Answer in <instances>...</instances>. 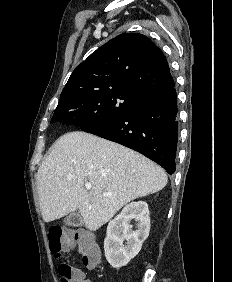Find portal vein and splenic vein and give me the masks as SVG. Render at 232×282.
Instances as JSON below:
<instances>
[{"mask_svg":"<svg viewBox=\"0 0 232 282\" xmlns=\"http://www.w3.org/2000/svg\"><path fill=\"white\" fill-rule=\"evenodd\" d=\"M85 187H86L87 190L91 189V185L90 184H86ZM103 195L104 196H110V194H106V193H104Z\"/></svg>","mask_w":232,"mask_h":282,"instance_id":"portal-vein-and-splenic-vein-1","label":"portal vein and splenic vein"}]
</instances>
